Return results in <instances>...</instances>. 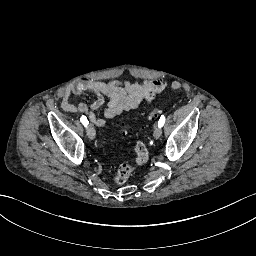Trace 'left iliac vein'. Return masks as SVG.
<instances>
[{
	"label": "left iliac vein",
	"mask_w": 256,
	"mask_h": 256,
	"mask_svg": "<svg viewBox=\"0 0 256 256\" xmlns=\"http://www.w3.org/2000/svg\"><path fill=\"white\" fill-rule=\"evenodd\" d=\"M162 135V130L159 126H157L154 130V138L159 139Z\"/></svg>",
	"instance_id": "1"
}]
</instances>
